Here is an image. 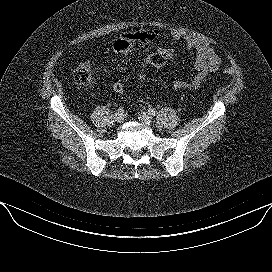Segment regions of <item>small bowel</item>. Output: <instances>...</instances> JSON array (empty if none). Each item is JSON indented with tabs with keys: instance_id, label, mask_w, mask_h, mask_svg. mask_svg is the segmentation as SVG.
Returning <instances> with one entry per match:
<instances>
[{
	"instance_id": "1",
	"label": "small bowel",
	"mask_w": 272,
	"mask_h": 272,
	"mask_svg": "<svg viewBox=\"0 0 272 272\" xmlns=\"http://www.w3.org/2000/svg\"><path fill=\"white\" fill-rule=\"evenodd\" d=\"M171 38L175 41L182 39L187 49L195 51L193 66L197 72L190 82L177 80L173 83V87L178 91H194L202 85L210 73L218 71L221 58L212 45L191 35L173 32ZM140 47L142 46L134 39V33H124L113 43L114 52L123 55L132 54ZM156 52L164 55L167 59L174 56L172 48L160 47Z\"/></svg>"
}]
</instances>
